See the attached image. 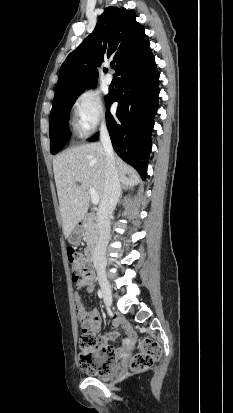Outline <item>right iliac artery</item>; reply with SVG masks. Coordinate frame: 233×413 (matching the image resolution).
<instances>
[{
  "instance_id": "right-iliac-artery-1",
  "label": "right iliac artery",
  "mask_w": 233,
  "mask_h": 413,
  "mask_svg": "<svg viewBox=\"0 0 233 413\" xmlns=\"http://www.w3.org/2000/svg\"><path fill=\"white\" fill-rule=\"evenodd\" d=\"M98 296L99 298H103V293L100 290L98 291Z\"/></svg>"
}]
</instances>
